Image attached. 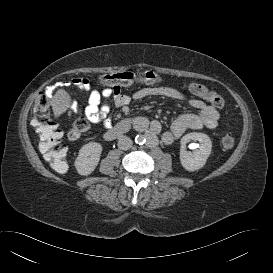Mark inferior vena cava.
<instances>
[{
  "label": "inferior vena cava",
  "instance_id": "1",
  "mask_svg": "<svg viewBox=\"0 0 273 273\" xmlns=\"http://www.w3.org/2000/svg\"><path fill=\"white\" fill-rule=\"evenodd\" d=\"M132 140L127 136H120L118 139V148L121 150H128L132 147Z\"/></svg>",
  "mask_w": 273,
  "mask_h": 273
}]
</instances>
